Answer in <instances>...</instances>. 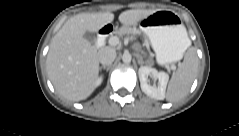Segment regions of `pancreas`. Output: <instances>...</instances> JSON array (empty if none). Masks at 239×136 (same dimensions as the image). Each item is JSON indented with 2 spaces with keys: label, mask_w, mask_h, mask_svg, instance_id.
I'll return each mask as SVG.
<instances>
[{
  "label": "pancreas",
  "mask_w": 239,
  "mask_h": 136,
  "mask_svg": "<svg viewBox=\"0 0 239 136\" xmlns=\"http://www.w3.org/2000/svg\"><path fill=\"white\" fill-rule=\"evenodd\" d=\"M118 36H129L133 38L136 34H139V31L135 28L122 27L120 30L115 32Z\"/></svg>",
  "instance_id": "cf45deb5"
}]
</instances>
